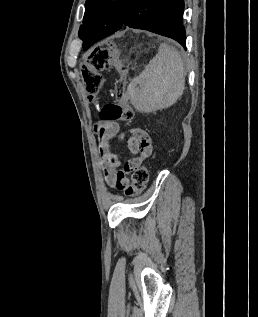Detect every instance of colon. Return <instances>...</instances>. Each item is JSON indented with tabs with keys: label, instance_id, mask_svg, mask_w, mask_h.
Segmentation results:
<instances>
[{
	"label": "colon",
	"instance_id": "1",
	"mask_svg": "<svg viewBox=\"0 0 258 317\" xmlns=\"http://www.w3.org/2000/svg\"><path fill=\"white\" fill-rule=\"evenodd\" d=\"M110 55L106 48L98 47L90 51L82 65V76L89 98H94L102 87L103 79L100 72L108 68ZM116 102L107 103L100 110V119L105 122L129 121L134 116L133 108L127 103L125 81L119 79L115 86ZM148 181L146 167H139L132 173L131 183L126 188L128 196L141 193Z\"/></svg>",
	"mask_w": 258,
	"mask_h": 317
}]
</instances>
